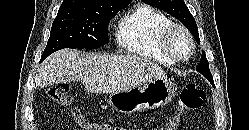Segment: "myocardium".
I'll return each mask as SVG.
<instances>
[{"label": "myocardium", "mask_w": 249, "mask_h": 130, "mask_svg": "<svg viewBox=\"0 0 249 130\" xmlns=\"http://www.w3.org/2000/svg\"><path fill=\"white\" fill-rule=\"evenodd\" d=\"M177 33H182L190 43V52L186 57L177 56L172 50V40ZM160 47L162 52L173 62H186L194 55L196 44L190 31L183 25L178 23H171L167 26L160 37Z\"/></svg>", "instance_id": "obj_1"}]
</instances>
